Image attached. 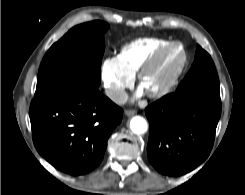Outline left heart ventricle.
<instances>
[{
  "label": "left heart ventricle",
  "mask_w": 245,
  "mask_h": 195,
  "mask_svg": "<svg viewBox=\"0 0 245 195\" xmlns=\"http://www.w3.org/2000/svg\"><path fill=\"white\" fill-rule=\"evenodd\" d=\"M180 59L181 52L178 48L169 51L144 77L141 85L142 90L151 91L159 88L176 68Z\"/></svg>",
  "instance_id": "left-heart-ventricle-1"
}]
</instances>
